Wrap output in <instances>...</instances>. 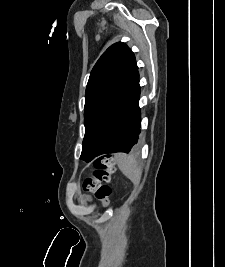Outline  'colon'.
<instances>
[{"instance_id": "5ec220e1", "label": "colon", "mask_w": 225, "mask_h": 267, "mask_svg": "<svg viewBox=\"0 0 225 267\" xmlns=\"http://www.w3.org/2000/svg\"><path fill=\"white\" fill-rule=\"evenodd\" d=\"M115 172V160L111 155L105 154L98 157L94 162L93 175L85 179L83 186L92 192L100 200L104 207H108L112 188L109 183Z\"/></svg>"}]
</instances>
